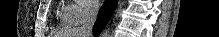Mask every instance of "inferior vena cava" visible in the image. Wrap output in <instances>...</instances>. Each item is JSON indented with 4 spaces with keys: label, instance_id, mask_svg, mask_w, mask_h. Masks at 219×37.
Listing matches in <instances>:
<instances>
[{
    "label": "inferior vena cava",
    "instance_id": "obj_1",
    "mask_svg": "<svg viewBox=\"0 0 219 37\" xmlns=\"http://www.w3.org/2000/svg\"><path fill=\"white\" fill-rule=\"evenodd\" d=\"M98 10L99 7L97 5L88 7L86 11L84 25L82 26L81 31L79 33L83 37H92V29L98 15Z\"/></svg>",
    "mask_w": 219,
    "mask_h": 37
}]
</instances>
